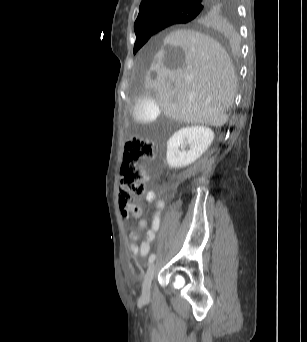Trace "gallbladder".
<instances>
[{
    "instance_id": "gallbladder-1",
    "label": "gallbladder",
    "mask_w": 307,
    "mask_h": 342,
    "mask_svg": "<svg viewBox=\"0 0 307 342\" xmlns=\"http://www.w3.org/2000/svg\"><path fill=\"white\" fill-rule=\"evenodd\" d=\"M139 100V103L133 104V118H136V123H154L158 105L147 95H141Z\"/></svg>"
}]
</instances>
